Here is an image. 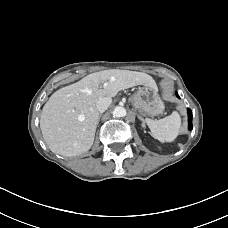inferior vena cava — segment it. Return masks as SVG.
Masks as SVG:
<instances>
[{"label": "inferior vena cava", "mask_w": 228, "mask_h": 228, "mask_svg": "<svg viewBox=\"0 0 228 228\" xmlns=\"http://www.w3.org/2000/svg\"><path fill=\"white\" fill-rule=\"evenodd\" d=\"M112 99L109 97L101 98L97 101L96 109L98 112L102 113L110 106Z\"/></svg>", "instance_id": "602c4592"}]
</instances>
